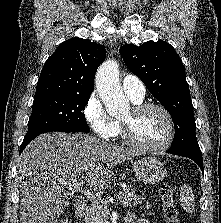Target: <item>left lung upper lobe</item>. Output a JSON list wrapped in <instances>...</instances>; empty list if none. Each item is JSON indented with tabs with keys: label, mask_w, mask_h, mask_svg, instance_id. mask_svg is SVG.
Listing matches in <instances>:
<instances>
[{
	"label": "left lung upper lobe",
	"mask_w": 221,
	"mask_h": 223,
	"mask_svg": "<svg viewBox=\"0 0 221 223\" xmlns=\"http://www.w3.org/2000/svg\"><path fill=\"white\" fill-rule=\"evenodd\" d=\"M120 54L128 69L173 117L175 135L170 150H200L184 65L173 46L161 40L141 46L126 44Z\"/></svg>",
	"instance_id": "left-lung-upper-lobe-1"
}]
</instances>
